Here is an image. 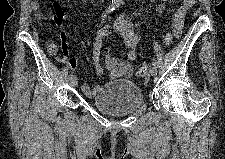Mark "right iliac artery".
I'll list each match as a JSON object with an SVG mask.
<instances>
[{"mask_svg": "<svg viewBox=\"0 0 225 159\" xmlns=\"http://www.w3.org/2000/svg\"><path fill=\"white\" fill-rule=\"evenodd\" d=\"M114 10V8H108L107 10H106V12L103 14V16H102V20H104L106 17H107V15L111 12V11H113ZM73 75L71 74V75H69V79L72 77Z\"/></svg>", "mask_w": 225, "mask_h": 159, "instance_id": "obj_1", "label": "right iliac artery"}]
</instances>
